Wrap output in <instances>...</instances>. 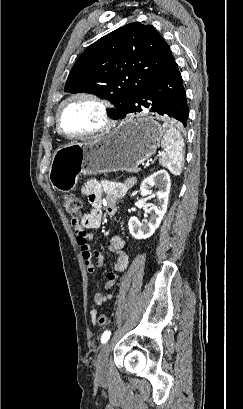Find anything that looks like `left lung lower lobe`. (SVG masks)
I'll list each match as a JSON object with an SVG mask.
<instances>
[{"instance_id": "0a47b994", "label": "left lung lower lobe", "mask_w": 243, "mask_h": 409, "mask_svg": "<svg viewBox=\"0 0 243 409\" xmlns=\"http://www.w3.org/2000/svg\"><path fill=\"white\" fill-rule=\"evenodd\" d=\"M143 111L172 117L186 126L189 109L176 63L154 78L135 98L129 109V113Z\"/></svg>"}]
</instances>
